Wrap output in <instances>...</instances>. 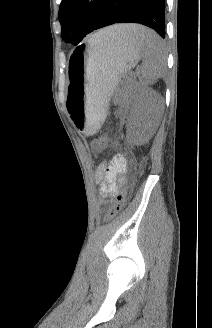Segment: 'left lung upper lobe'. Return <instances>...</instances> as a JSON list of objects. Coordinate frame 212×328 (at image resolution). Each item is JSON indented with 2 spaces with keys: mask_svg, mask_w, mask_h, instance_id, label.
Returning a JSON list of instances; mask_svg holds the SVG:
<instances>
[{
  "mask_svg": "<svg viewBox=\"0 0 212 328\" xmlns=\"http://www.w3.org/2000/svg\"><path fill=\"white\" fill-rule=\"evenodd\" d=\"M105 0H62L59 7V20L62 38L67 41L70 31L71 43L77 45L90 32L94 31L100 18Z\"/></svg>",
  "mask_w": 212,
  "mask_h": 328,
  "instance_id": "5c2ea615",
  "label": "left lung upper lobe"
}]
</instances>
